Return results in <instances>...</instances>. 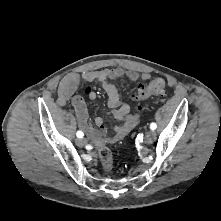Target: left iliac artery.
I'll return each mask as SVG.
<instances>
[{
    "mask_svg": "<svg viewBox=\"0 0 221 221\" xmlns=\"http://www.w3.org/2000/svg\"><path fill=\"white\" fill-rule=\"evenodd\" d=\"M150 128H151V130H155L157 128L156 123H151Z\"/></svg>",
    "mask_w": 221,
    "mask_h": 221,
    "instance_id": "44dca946",
    "label": "left iliac artery"
}]
</instances>
